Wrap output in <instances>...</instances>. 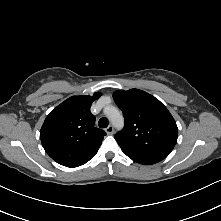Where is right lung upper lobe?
Listing matches in <instances>:
<instances>
[{
  "instance_id": "right-lung-upper-lobe-1",
  "label": "right lung upper lobe",
  "mask_w": 221,
  "mask_h": 221,
  "mask_svg": "<svg viewBox=\"0 0 221 221\" xmlns=\"http://www.w3.org/2000/svg\"><path fill=\"white\" fill-rule=\"evenodd\" d=\"M100 96H72L45 119L40 139L46 153L66 167H78L95 156L106 133L94 127L91 104Z\"/></svg>"
}]
</instances>
